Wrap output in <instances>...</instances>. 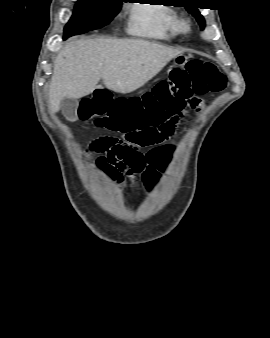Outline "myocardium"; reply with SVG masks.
I'll use <instances>...</instances> for the list:
<instances>
[{
    "label": "myocardium",
    "mask_w": 270,
    "mask_h": 338,
    "mask_svg": "<svg viewBox=\"0 0 270 338\" xmlns=\"http://www.w3.org/2000/svg\"><path fill=\"white\" fill-rule=\"evenodd\" d=\"M178 30L181 33H187L189 31V24L185 20L180 21Z\"/></svg>",
    "instance_id": "1"
}]
</instances>
